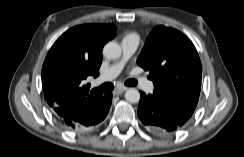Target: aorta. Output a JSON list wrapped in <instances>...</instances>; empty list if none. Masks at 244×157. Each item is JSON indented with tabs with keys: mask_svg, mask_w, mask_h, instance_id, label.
Here are the masks:
<instances>
[{
	"mask_svg": "<svg viewBox=\"0 0 244 157\" xmlns=\"http://www.w3.org/2000/svg\"><path fill=\"white\" fill-rule=\"evenodd\" d=\"M122 49L120 45L114 41L105 44L103 54L108 59H117L121 56ZM125 99L130 103H138L140 100V93L135 88H129L125 92Z\"/></svg>",
	"mask_w": 244,
	"mask_h": 157,
	"instance_id": "aorta-1",
	"label": "aorta"
}]
</instances>
